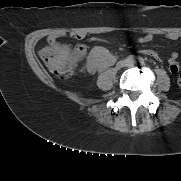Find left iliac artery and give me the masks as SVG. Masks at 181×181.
Wrapping results in <instances>:
<instances>
[{
  "label": "left iliac artery",
  "instance_id": "left-iliac-artery-1",
  "mask_svg": "<svg viewBox=\"0 0 181 181\" xmlns=\"http://www.w3.org/2000/svg\"><path fill=\"white\" fill-rule=\"evenodd\" d=\"M138 62H139L140 65H144L145 64V61L142 58H140Z\"/></svg>",
  "mask_w": 181,
  "mask_h": 181
}]
</instances>
